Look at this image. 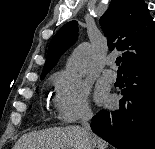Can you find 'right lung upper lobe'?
I'll use <instances>...</instances> for the list:
<instances>
[{
	"instance_id": "obj_1",
	"label": "right lung upper lobe",
	"mask_w": 155,
	"mask_h": 149,
	"mask_svg": "<svg viewBox=\"0 0 155 149\" xmlns=\"http://www.w3.org/2000/svg\"><path fill=\"white\" fill-rule=\"evenodd\" d=\"M100 25L109 49L124 51L122 71L155 61V22L143 0H112L100 18ZM77 31V21H70L52 38L41 77H45L61 54L76 41Z\"/></svg>"
}]
</instances>
